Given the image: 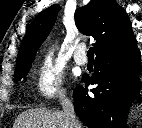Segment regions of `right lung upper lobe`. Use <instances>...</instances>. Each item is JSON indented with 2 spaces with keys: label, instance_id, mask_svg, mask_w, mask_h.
<instances>
[{
  "label": "right lung upper lobe",
  "instance_id": "cb5924a9",
  "mask_svg": "<svg viewBox=\"0 0 142 128\" xmlns=\"http://www.w3.org/2000/svg\"><path fill=\"white\" fill-rule=\"evenodd\" d=\"M59 10V5H52L35 17L23 38L16 64L34 59ZM75 23L80 32L96 39V58L114 53L136 40L126 12L114 0H91L75 11Z\"/></svg>",
  "mask_w": 142,
  "mask_h": 128
}]
</instances>
